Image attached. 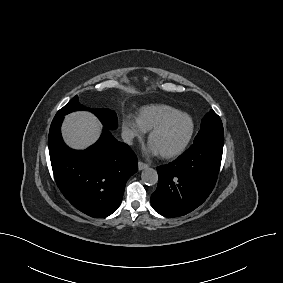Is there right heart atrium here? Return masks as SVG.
I'll return each mask as SVG.
<instances>
[{"label": "right heart atrium", "instance_id": "d8ad5b80", "mask_svg": "<svg viewBox=\"0 0 283 283\" xmlns=\"http://www.w3.org/2000/svg\"><path fill=\"white\" fill-rule=\"evenodd\" d=\"M122 132L126 142L132 144L135 140L142 139L146 131L136 116L127 114L122 121Z\"/></svg>", "mask_w": 283, "mask_h": 283}]
</instances>
